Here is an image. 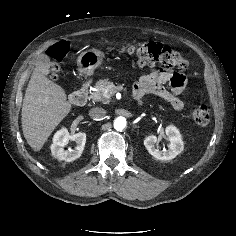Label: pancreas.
Wrapping results in <instances>:
<instances>
[{
	"label": "pancreas",
	"mask_w": 236,
	"mask_h": 236,
	"mask_svg": "<svg viewBox=\"0 0 236 236\" xmlns=\"http://www.w3.org/2000/svg\"><path fill=\"white\" fill-rule=\"evenodd\" d=\"M116 90L117 87L112 81L100 79L95 85V90L90 92V98L93 102L107 103L110 101V97L116 92Z\"/></svg>",
	"instance_id": "pancreas-1"
}]
</instances>
